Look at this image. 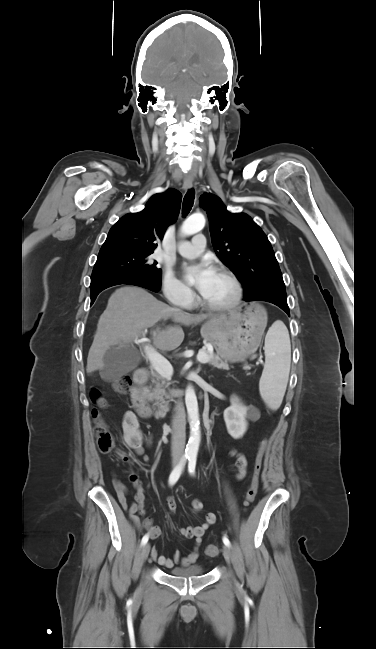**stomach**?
<instances>
[{
	"mask_svg": "<svg viewBox=\"0 0 376 649\" xmlns=\"http://www.w3.org/2000/svg\"><path fill=\"white\" fill-rule=\"evenodd\" d=\"M266 324V311L254 304L244 311L238 308L228 316L208 320L201 335L224 360L241 361L257 350Z\"/></svg>",
	"mask_w": 376,
	"mask_h": 649,
	"instance_id": "0dacf381",
	"label": "stomach"
}]
</instances>
